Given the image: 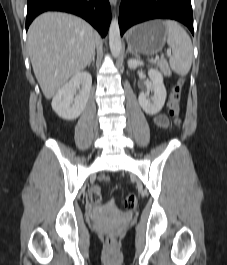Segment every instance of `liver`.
<instances>
[{"label":"liver","instance_id":"6515ba94","mask_svg":"<svg viewBox=\"0 0 227 265\" xmlns=\"http://www.w3.org/2000/svg\"><path fill=\"white\" fill-rule=\"evenodd\" d=\"M28 52L46 99L83 71L95 52L93 27L80 17L60 12L38 16L28 29Z\"/></svg>","mask_w":227,"mask_h":265}]
</instances>
